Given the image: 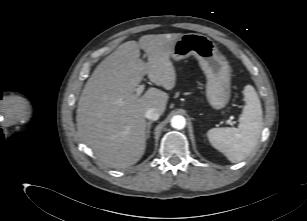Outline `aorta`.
<instances>
[{"instance_id": "aorta-1", "label": "aorta", "mask_w": 307, "mask_h": 221, "mask_svg": "<svg viewBox=\"0 0 307 221\" xmlns=\"http://www.w3.org/2000/svg\"><path fill=\"white\" fill-rule=\"evenodd\" d=\"M186 125V119L181 115H175L171 119V126L175 129H183Z\"/></svg>"}]
</instances>
